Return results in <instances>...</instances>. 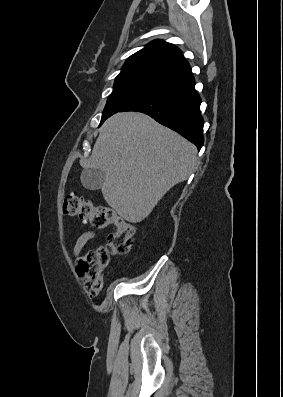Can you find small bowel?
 Instances as JSON below:
<instances>
[{
  "mask_svg": "<svg viewBox=\"0 0 283 397\" xmlns=\"http://www.w3.org/2000/svg\"><path fill=\"white\" fill-rule=\"evenodd\" d=\"M96 233L94 231H86L82 233L76 240L74 247H73V255L75 258H79L81 255V252L85 245L95 239Z\"/></svg>",
  "mask_w": 283,
  "mask_h": 397,
  "instance_id": "obj_1",
  "label": "small bowel"
}]
</instances>
